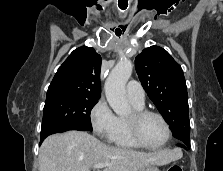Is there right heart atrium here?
I'll use <instances>...</instances> for the list:
<instances>
[{"label":"right heart atrium","instance_id":"d8ad5b80","mask_svg":"<svg viewBox=\"0 0 223 171\" xmlns=\"http://www.w3.org/2000/svg\"><path fill=\"white\" fill-rule=\"evenodd\" d=\"M90 123L93 132L100 138L109 140L117 126V117L105 101L99 99L90 111Z\"/></svg>","mask_w":223,"mask_h":171}]
</instances>
